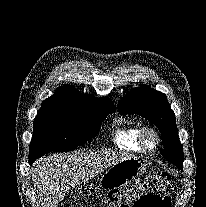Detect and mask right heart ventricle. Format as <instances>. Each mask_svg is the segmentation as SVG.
Returning a JSON list of instances; mask_svg holds the SVG:
<instances>
[{"label": "right heart ventricle", "instance_id": "e07e8e85", "mask_svg": "<svg viewBox=\"0 0 206 207\" xmlns=\"http://www.w3.org/2000/svg\"><path fill=\"white\" fill-rule=\"evenodd\" d=\"M140 126L137 124H122L117 126L114 132V144L126 151L144 152L139 142Z\"/></svg>", "mask_w": 206, "mask_h": 207}]
</instances>
